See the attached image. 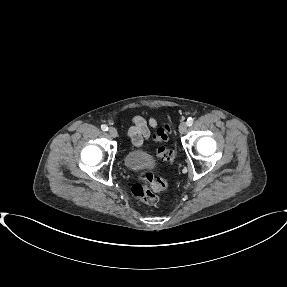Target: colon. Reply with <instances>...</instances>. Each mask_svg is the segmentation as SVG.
Here are the masks:
<instances>
[{
  "instance_id": "1",
  "label": "colon",
  "mask_w": 287,
  "mask_h": 287,
  "mask_svg": "<svg viewBox=\"0 0 287 287\" xmlns=\"http://www.w3.org/2000/svg\"><path fill=\"white\" fill-rule=\"evenodd\" d=\"M171 132L170 124L157 129L154 140L157 142H166ZM156 156L163 161L173 162L175 154L172 150L166 147H159L156 151ZM139 180L132 188V195L144 204H155L158 201V193L165 191L168 188V183L163 177H154L149 170L141 172L138 176Z\"/></svg>"
}]
</instances>
